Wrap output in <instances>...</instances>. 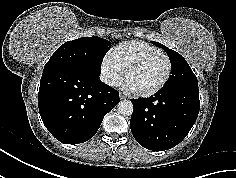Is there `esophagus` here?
<instances>
[{
	"label": "esophagus",
	"instance_id": "34e87169",
	"mask_svg": "<svg viewBox=\"0 0 236 178\" xmlns=\"http://www.w3.org/2000/svg\"><path fill=\"white\" fill-rule=\"evenodd\" d=\"M119 98L122 100L125 99V96L122 93H119Z\"/></svg>",
	"mask_w": 236,
	"mask_h": 178
}]
</instances>
